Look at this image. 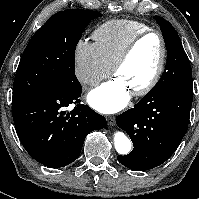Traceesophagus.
<instances>
[{"instance_id": "obj_1", "label": "esophagus", "mask_w": 199, "mask_h": 199, "mask_svg": "<svg viewBox=\"0 0 199 199\" xmlns=\"http://www.w3.org/2000/svg\"><path fill=\"white\" fill-rule=\"evenodd\" d=\"M108 125L113 126L115 124V117L114 116H107Z\"/></svg>"}]
</instances>
